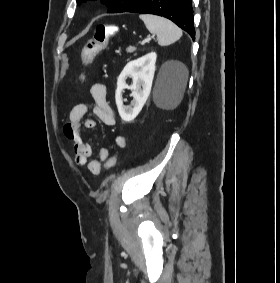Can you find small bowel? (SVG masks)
<instances>
[{
    "label": "small bowel",
    "instance_id": "1",
    "mask_svg": "<svg viewBox=\"0 0 280 283\" xmlns=\"http://www.w3.org/2000/svg\"><path fill=\"white\" fill-rule=\"evenodd\" d=\"M90 94L93 98V113L98 120L106 125L113 126L115 117L106 99V88L102 83H95L91 86ZM89 110L88 104L80 103L75 105L69 113L67 122L64 124L63 132L67 139L74 144V161L80 166H87L88 170L93 175H99L102 169V162L109 160L111 154L107 148L99 150L98 159H90L92 148L89 143L84 140L83 127L95 128L96 122L90 119H84V116ZM116 145L119 148H124L126 138L117 136L115 139Z\"/></svg>",
    "mask_w": 280,
    "mask_h": 283
}]
</instances>
